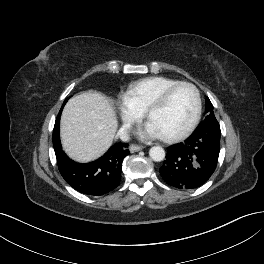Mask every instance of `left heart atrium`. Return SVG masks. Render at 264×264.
<instances>
[{
	"mask_svg": "<svg viewBox=\"0 0 264 264\" xmlns=\"http://www.w3.org/2000/svg\"><path fill=\"white\" fill-rule=\"evenodd\" d=\"M143 135L145 137H150V138H155V137H159L160 136L158 131L149 123L146 126V128L144 129Z\"/></svg>",
	"mask_w": 264,
	"mask_h": 264,
	"instance_id": "1",
	"label": "left heart atrium"
}]
</instances>
